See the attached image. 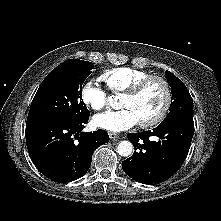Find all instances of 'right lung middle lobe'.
<instances>
[{
	"instance_id": "right-lung-middle-lobe-1",
	"label": "right lung middle lobe",
	"mask_w": 221,
	"mask_h": 221,
	"mask_svg": "<svg viewBox=\"0 0 221 221\" xmlns=\"http://www.w3.org/2000/svg\"><path fill=\"white\" fill-rule=\"evenodd\" d=\"M93 68L91 62L69 59L53 69L33 98L27 122L43 119L76 121L89 117L81 88Z\"/></svg>"
}]
</instances>
